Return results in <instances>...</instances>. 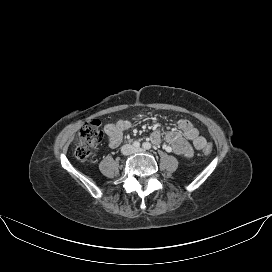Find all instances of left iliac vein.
<instances>
[{
    "label": "left iliac vein",
    "instance_id": "4c4485c4",
    "mask_svg": "<svg viewBox=\"0 0 272 272\" xmlns=\"http://www.w3.org/2000/svg\"><path fill=\"white\" fill-rule=\"evenodd\" d=\"M135 151L136 152H143V149L142 148H136Z\"/></svg>",
    "mask_w": 272,
    "mask_h": 272
}]
</instances>
